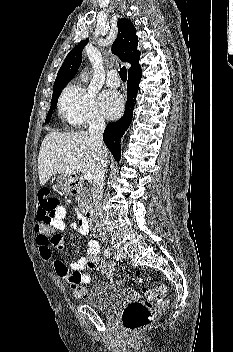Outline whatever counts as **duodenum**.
Wrapping results in <instances>:
<instances>
[{
    "mask_svg": "<svg viewBox=\"0 0 233 352\" xmlns=\"http://www.w3.org/2000/svg\"><path fill=\"white\" fill-rule=\"evenodd\" d=\"M71 185L73 188V193H76V190L78 188V181L75 178L71 179ZM84 220L85 223L87 224V226L90 229H95L96 228V222H95V213H94V209L92 207H89L85 210L84 213Z\"/></svg>",
    "mask_w": 233,
    "mask_h": 352,
    "instance_id": "obj_1",
    "label": "duodenum"
}]
</instances>
